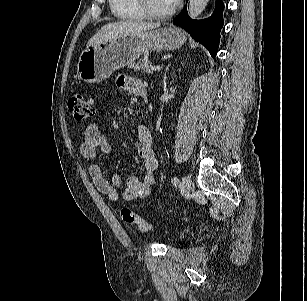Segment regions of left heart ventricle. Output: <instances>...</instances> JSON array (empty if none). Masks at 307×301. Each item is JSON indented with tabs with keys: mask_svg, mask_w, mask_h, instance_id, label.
I'll return each instance as SVG.
<instances>
[{
	"mask_svg": "<svg viewBox=\"0 0 307 301\" xmlns=\"http://www.w3.org/2000/svg\"><path fill=\"white\" fill-rule=\"evenodd\" d=\"M150 7L159 13L169 11L173 6L170 0H148Z\"/></svg>",
	"mask_w": 307,
	"mask_h": 301,
	"instance_id": "obj_1",
	"label": "left heart ventricle"
}]
</instances>
